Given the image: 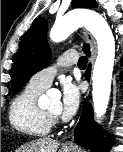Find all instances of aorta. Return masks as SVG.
<instances>
[{"label": "aorta", "instance_id": "1", "mask_svg": "<svg viewBox=\"0 0 123 152\" xmlns=\"http://www.w3.org/2000/svg\"><path fill=\"white\" fill-rule=\"evenodd\" d=\"M81 26L94 36L98 46L92 74V97L95 116L99 119L108 107L115 60V40L107 21L94 11H72L56 20L50 31V38L54 42L63 41Z\"/></svg>", "mask_w": 123, "mask_h": 152}]
</instances>
